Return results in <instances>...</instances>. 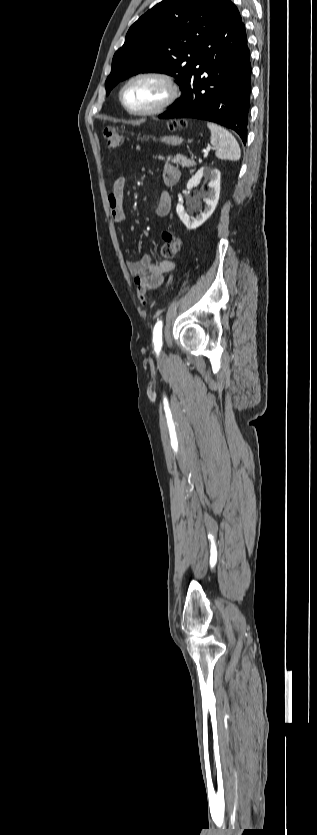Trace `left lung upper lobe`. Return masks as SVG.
Wrapping results in <instances>:
<instances>
[{
    "label": "left lung upper lobe",
    "mask_w": 317,
    "mask_h": 835,
    "mask_svg": "<svg viewBox=\"0 0 317 835\" xmlns=\"http://www.w3.org/2000/svg\"><path fill=\"white\" fill-rule=\"evenodd\" d=\"M230 0H165L142 15L128 30L116 51L105 87L111 89L141 72L175 77L183 90L198 53Z\"/></svg>",
    "instance_id": "5c2ea615"
}]
</instances>
